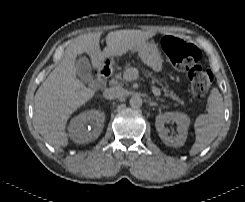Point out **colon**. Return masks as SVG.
<instances>
[{
	"label": "colon",
	"mask_w": 245,
	"mask_h": 202,
	"mask_svg": "<svg viewBox=\"0 0 245 202\" xmlns=\"http://www.w3.org/2000/svg\"><path fill=\"white\" fill-rule=\"evenodd\" d=\"M161 44L174 68L179 71H189L193 94L204 95L212 84L213 76L209 70L199 64L200 49L172 35L163 37Z\"/></svg>",
	"instance_id": "1"
}]
</instances>
